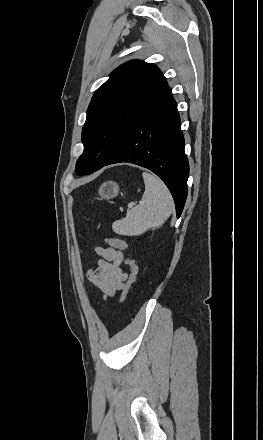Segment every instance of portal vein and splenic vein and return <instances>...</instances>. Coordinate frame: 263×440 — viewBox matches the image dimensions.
<instances>
[{
  "mask_svg": "<svg viewBox=\"0 0 263 440\" xmlns=\"http://www.w3.org/2000/svg\"><path fill=\"white\" fill-rule=\"evenodd\" d=\"M134 205H135V203H130V204L128 205V207L131 208V207H133Z\"/></svg>",
  "mask_w": 263,
  "mask_h": 440,
  "instance_id": "1",
  "label": "portal vein and splenic vein"
}]
</instances>
